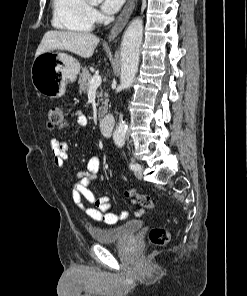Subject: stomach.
I'll return each instance as SVG.
<instances>
[{
    "label": "stomach",
    "mask_w": 247,
    "mask_h": 296,
    "mask_svg": "<svg viewBox=\"0 0 247 296\" xmlns=\"http://www.w3.org/2000/svg\"><path fill=\"white\" fill-rule=\"evenodd\" d=\"M80 63L65 53L45 52L35 57L31 66L34 88L49 98H59L69 82L76 80Z\"/></svg>",
    "instance_id": "0dacf381"
}]
</instances>
